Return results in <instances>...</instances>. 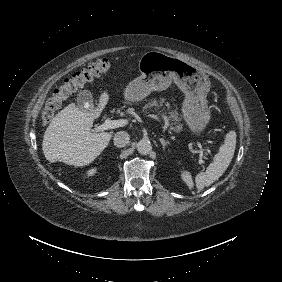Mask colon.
Masks as SVG:
<instances>
[{"instance_id":"obj_1","label":"colon","mask_w":282,"mask_h":282,"mask_svg":"<svg viewBox=\"0 0 282 282\" xmlns=\"http://www.w3.org/2000/svg\"><path fill=\"white\" fill-rule=\"evenodd\" d=\"M111 66L108 57H98L89 64V66L73 74L64 84L59 86L54 94L49 98L41 113V124L47 126L50 124L54 115L60 110L62 103L76 90L91 81L94 77L106 73Z\"/></svg>"}]
</instances>
